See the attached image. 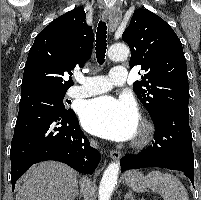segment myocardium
I'll return each instance as SVG.
<instances>
[{
  "instance_id": "obj_1",
  "label": "myocardium",
  "mask_w": 201,
  "mask_h": 200,
  "mask_svg": "<svg viewBox=\"0 0 201 200\" xmlns=\"http://www.w3.org/2000/svg\"><path fill=\"white\" fill-rule=\"evenodd\" d=\"M152 136H153L152 125L145 118H141L139 120V129L133 141V145L136 147L145 146L150 142Z\"/></svg>"
}]
</instances>
